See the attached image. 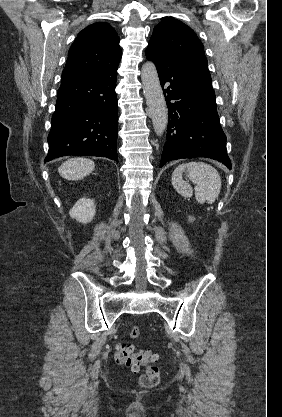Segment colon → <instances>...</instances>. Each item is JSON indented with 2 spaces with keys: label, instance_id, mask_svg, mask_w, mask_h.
<instances>
[{
  "label": "colon",
  "instance_id": "1",
  "mask_svg": "<svg viewBox=\"0 0 282 417\" xmlns=\"http://www.w3.org/2000/svg\"><path fill=\"white\" fill-rule=\"evenodd\" d=\"M129 336L132 339H138L141 336V331L138 326H132L129 331ZM144 360H156V355L149 349H141L140 352L138 349L125 342H121L116 346V351L114 353V361L118 365H124L130 368L133 372H139L138 368L143 367ZM160 371L155 368L145 369L140 376L139 382L142 387H152L160 379Z\"/></svg>",
  "mask_w": 282,
  "mask_h": 417
}]
</instances>
